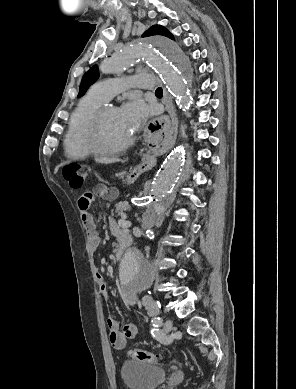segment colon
<instances>
[{"label":"colon","instance_id":"1","mask_svg":"<svg viewBox=\"0 0 296 389\" xmlns=\"http://www.w3.org/2000/svg\"><path fill=\"white\" fill-rule=\"evenodd\" d=\"M88 168L84 165L73 163L63 169V176L69 186L73 189H79L83 186ZM129 355L140 362L147 364H156L159 361V355L142 349H131Z\"/></svg>","mask_w":296,"mask_h":389}]
</instances>
